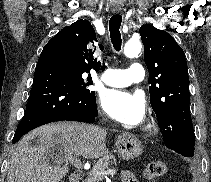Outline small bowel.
I'll return each instance as SVG.
<instances>
[{
    "mask_svg": "<svg viewBox=\"0 0 211 182\" xmlns=\"http://www.w3.org/2000/svg\"><path fill=\"white\" fill-rule=\"evenodd\" d=\"M122 182H138V181L136 177L130 171H123Z\"/></svg>",
    "mask_w": 211,
    "mask_h": 182,
    "instance_id": "c3829d8e",
    "label": "small bowel"
}]
</instances>
